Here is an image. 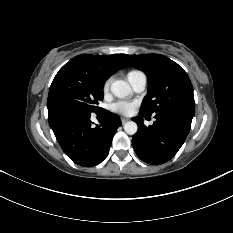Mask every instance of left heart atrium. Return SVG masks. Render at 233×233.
Instances as JSON below:
<instances>
[{
	"label": "left heart atrium",
	"instance_id": "1",
	"mask_svg": "<svg viewBox=\"0 0 233 233\" xmlns=\"http://www.w3.org/2000/svg\"><path fill=\"white\" fill-rule=\"evenodd\" d=\"M136 107V101H117L111 105V111L122 115H131Z\"/></svg>",
	"mask_w": 233,
	"mask_h": 233
}]
</instances>
